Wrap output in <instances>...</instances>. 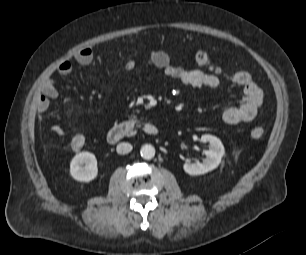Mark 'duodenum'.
I'll use <instances>...</instances> for the list:
<instances>
[{
    "mask_svg": "<svg viewBox=\"0 0 306 255\" xmlns=\"http://www.w3.org/2000/svg\"><path fill=\"white\" fill-rule=\"evenodd\" d=\"M144 132L148 136H156L159 130L156 125L147 123L144 125ZM137 131V125L133 121H126L111 127L107 133V141L116 144L126 137L133 136Z\"/></svg>",
    "mask_w": 306,
    "mask_h": 255,
    "instance_id": "1",
    "label": "duodenum"
}]
</instances>
